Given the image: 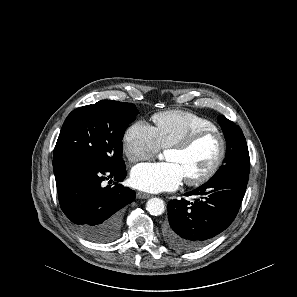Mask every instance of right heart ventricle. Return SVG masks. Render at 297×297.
I'll use <instances>...</instances> for the list:
<instances>
[{"label": "right heart ventricle", "mask_w": 297, "mask_h": 297, "mask_svg": "<svg viewBox=\"0 0 297 297\" xmlns=\"http://www.w3.org/2000/svg\"><path fill=\"white\" fill-rule=\"evenodd\" d=\"M153 122L158 142L163 148L195 131L216 129L210 120L181 110L157 113L153 116Z\"/></svg>", "instance_id": "obj_1"}]
</instances>
